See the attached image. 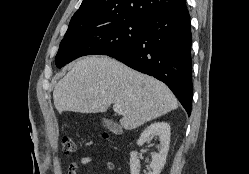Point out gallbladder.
Returning a JSON list of instances; mask_svg holds the SVG:
<instances>
[{"mask_svg":"<svg viewBox=\"0 0 249 174\" xmlns=\"http://www.w3.org/2000/svg\"><path fill=\"white\" fill-rule=\"evenodd\" d=\"M103 123L105 124V126L107 128H109L112 131H119L120 130V127L116 123H114L112 120L104 118Z\"/></svg>","mask_w":249,"mask_h":174,"instance_id":"1","label":"gallbladder"}]
</instances>
